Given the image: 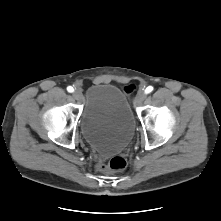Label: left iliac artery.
I'll list each match as a JSON object with an SVG mask.
<instances>
[{
  "label": "left iliac artery",
  "instance_id": "1",
  "mask_svg": "<svg viewBox=\"0 0 221 221\" xmlns=\"http://www.w3.org/2000/svg\"><path fill=\"white\" fill-rule=\"evenodd\" d=\"M153 90L152 86H148L145 90L146 93H150Z\"/></svg>",
  "mask_w": 221,
  "mask_h": 221
}]
</instances>
